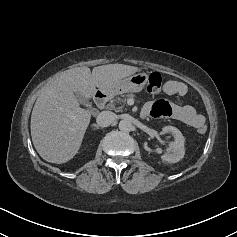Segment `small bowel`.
<instances>
[{
	"label": "small bowel",
	"instance_id": "small-bowel-1",
	"mask_svg": "<svg viewBox=\"0 0 237 237\" xmlns=\"http://www.w3.org/2000/svg\"><path fill=\"white\" fill-rule=\"evenodd\" d=\"M163 91L167 95L184 96L187 93V86L178 80H169L165 83ZM143 117L152 116L156 118L170 116L193 128L199 129L204 125L205 120L191 105L169 103L165 100L147 102L142 110Z\"/></svg>",
	"mask_w": 237,
	"mask_h": 237
}]
</instances>
